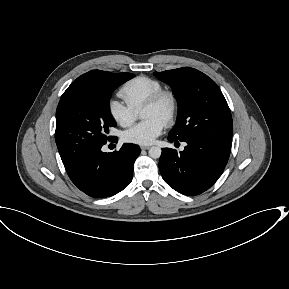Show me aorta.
I'll use <instances>...</instances> for the list:
<instances>
[{"label":"aorta","instance_id":"obj_1","mask_svg":"<svg viewBox=\"0 0 289 289\" xmlns=\"http://www.w3.org/2000/svg\"><path fill=\"white\" fill-rule=\"evenodd\" d=\"M161 148H159V147H156V146H153V147H151L150 149H149V156L151 157V158H159L160 156H161Z\"/></svg>","mask_w":289,"mask_h":289}]
</instances>
